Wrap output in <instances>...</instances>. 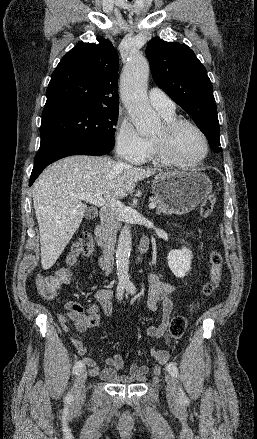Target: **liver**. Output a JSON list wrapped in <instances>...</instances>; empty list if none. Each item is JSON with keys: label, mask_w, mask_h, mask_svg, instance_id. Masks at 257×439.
<instances>
[{"label": "liver", "mask_w": 257, "mask_h": 439, "mask_svg": "<svg viewBox=\"0 0 257 439\" xmlns=\"http://www.w3.org/2000/svg\"><path fill=\"white\" fill-rule=\"evenodd\" d=\"M155 174L109 157L71 156L49 166L36 180L32 197L38 221L41 264L50 269L79 228L87 206L73 194L98 193L105 206L126 197L135 184Z\"/></svg>", "instance_id": "obj_1"}]
</instances>
